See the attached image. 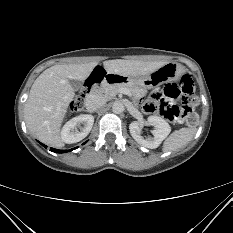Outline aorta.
Segmentation results:
<instances>
[{"mask_svg": "<svg viewBox=\"0 0 233 233\" xmlns=\"http://www.w3.org/2000/svg\"><path fill=\"white\" fill-rule=\"evenodd\" d=\"M112 111L115 114H120L124 111V105L121 102H115L112 106Z\"/></svg>", "mask_w": 233, "mask_h": 233, "instance_id": "obj_1", "label": "aorta"}]
</instances>
